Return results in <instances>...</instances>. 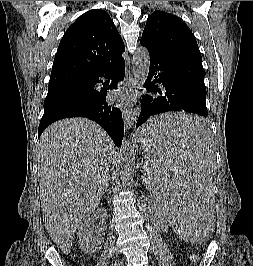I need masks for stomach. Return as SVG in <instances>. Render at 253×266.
I'll list each match as a JSON object with an SVG mask.
<instances>
[{
  "instance_id": "1",
  "label": "stomach",
  "mask_w": 253,
  "mask_h": 266,
  "mask_svg": "<svg viewBox=\"0 0 253 266\" xmlns=\"http://www.w3.org/2000/svg\"><path fill=\"white\" fill-rule=\"evenodd\" d=\"M144 127H145V126H144ZM144 127H142V128L137 132V136H136L138 142L141 144V146H142L143 148H145V146H144V139H145V138H152V137L149 135V132H145V128H144Z\"/></svg>"
}]
</instances>
